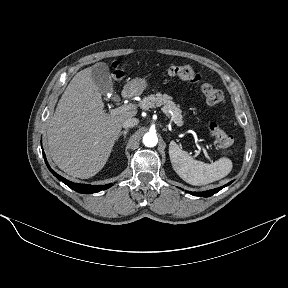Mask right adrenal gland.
Masks as SVG:
<instances>
[{
  "label": "right adrenal gland",
  "mask_w": 288,
  "mask_h": 288,
  "mask_svg": "<svg viewBox=\"0 0 288 288\" xmlns=\"http://www.w3.org/2000/svg\"><path fill=\"white\" fill-rule=\"evenodd\" d=\"M129 132V130L128 129H126V130H124V131H121L120 132V134L118 135V137H117V139H116V141H118L119 140V138H120V136H122L123 135V137H124V142H125V139H126V135H127V133Z\"/></svg>",
  "instance_id": "1"
}]
</instances>
